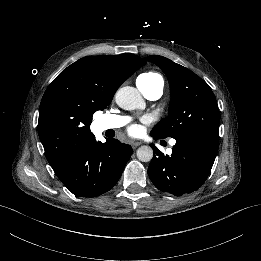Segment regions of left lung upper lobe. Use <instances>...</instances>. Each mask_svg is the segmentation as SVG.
<instances>
[{
	"label": "left lung upper lobe",
	"instance_id": "obj_1",
	"mask_svg": "<svg viewBox=\"0 0 261 261\" xmlns=\"http://www.w3.org/2000/svg\"><path fill=\"white\" fill-rule=\"evenodd\" d=\"M145 59L165 73L171 91L169 116L158 122L151 135L178 140L187 134L201 132L219 138L220 113L209 85L168 58L152 55Z\"/></svg>",
	"mask_w": 261,
	"mask_h": 261
}]
</instances>
